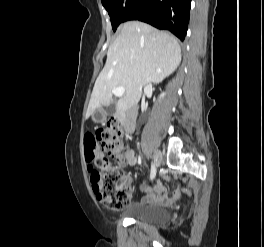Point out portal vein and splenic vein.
<instances>
[{
  "instance_id": "1",
  "label": "portal vein and splenic vein",
  "mask_w": 264,
  "mask_h": 247,
  "mask_svg": "<svg viewBox=\"0 0 264 247\" xmlns=\"http://www.w3.org/2000/svg\"><path fill=\"white\" fill-rule=\"evenodd\" d=\"M125 89L124 87H117V88H113L112 89V93L116 96V97H122L124 95Z\"/></svg>"
}]
</instances>
